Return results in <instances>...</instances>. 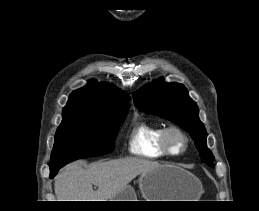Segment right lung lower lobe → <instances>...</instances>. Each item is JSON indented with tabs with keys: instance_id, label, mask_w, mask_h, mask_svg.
<instances>
[{
	"instance_id": "98d812e1",
	"label": "right lung lower lobe",
	"mask_w": 259,
	"mask_h": 211,
	"mask_svg": "<svg viewBox=\"0 0 259 211\" xmlns=\"http://www.w3.org/2000/svg\"><path fill=\"white\" fill-rule=\"evenodd\" d=\"M59 169H60V168H59ZM59 169H53V170H51L50 178H53V177L56 175V173H57V171H58Z\"/></svg>"
}]
</instances>
